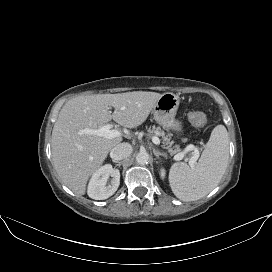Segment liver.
<instances>
[{
	"label": "liver",
	"instance_id": "liver-1",
	"mask_svg": "<svg viewBox=\"0 0 272 272\" xmlns=\"http://www.w3.org/2000/svg\"><path fill=\"white\" fill-rule=\"evenodd\" d=\"M162 95L134 91L120 94L78 96L61 109L52 131L54 167L63 183L77 195H84L86 184L103 164L108 153L122 141L83 133L113 119L125 128L143 124ZM114 108L111 114L109 110Z\"/></svg>",
	"mask_w": 272,
	"mask_h": 272
}]
</instances>
